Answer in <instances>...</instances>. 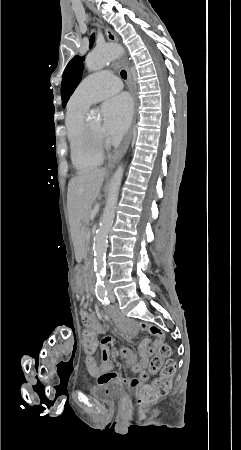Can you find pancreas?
<instances>
[{
	"instance_id": "obj_1",
	"label": "pancreas",
	"mask_w": 241,
	"mask_h": 450,
	"mask_svg": "<svg viewBox=\"0 0 241 450\" xmlns=\"http://www.w3.org/2000/svg\"><path fill=\"white\" fill-rule=\"evenodd\" d=\"M88 231L90 232V230H85L86 240H87V238H88V233H87Z\"/></svg>"
}]
</instances>
